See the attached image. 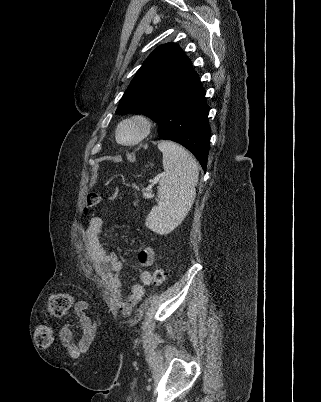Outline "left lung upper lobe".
<instances>
[{
  "label": "left lung upper lobe",
  "mask_w": 321,
  "mask_h": 402,
  "mask_svg": "<svg viewBox=\"0 0 321 402\" xmlns=\"http://www.w3.org/2000/svg\"><path fill=\"white\" fill-rule=\"evenodd\" d=\"M192 71L190 60L178 45L159 46L137 71L116 113H141L156 122L168 94Z\"/></svg>",
  "instance_id": "obj_1"
}]
</instances>
